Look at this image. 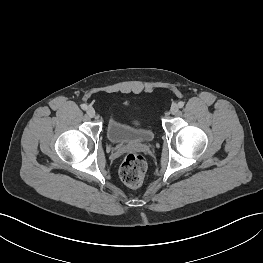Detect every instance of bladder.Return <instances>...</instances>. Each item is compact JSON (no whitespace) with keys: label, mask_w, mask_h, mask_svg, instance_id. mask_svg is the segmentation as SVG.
I'll use <instances>...</instances> for the list:
<instances>
[{"label":"bladder","mask_w":263,"mask_h":263,"mask_svg":"<svg viewBox=\"0 0 263 263\" xmlns=\"http://www.w3.org/2000/svg\"><path fill=\"white\" fill-rule=\"evenodd\" d=\"M106 132L110 142L117 145L150 143L155 135L151 125L130 124L117 113L110 117Z\"/></svg>","instance_id":"1"}]
</instances>
